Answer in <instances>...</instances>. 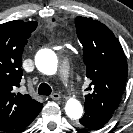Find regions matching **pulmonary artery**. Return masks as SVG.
Wrapping results in <instances>:
<instances>
[{"label": "pulmonary artery", "mask_w": 133, "mask_h": 133, "mask_svg": "<svg viewBox=\"0 0 133 133\" xmlns=\"http://www.w3.org/2000/svg\"><path fill=\"white\" fill-rule=\"evenodd\" d=\"M59 77L63 84L69 83V63L63 61L59 68Z\"/></svg>", "instance_id": "1"}]
</instances>
